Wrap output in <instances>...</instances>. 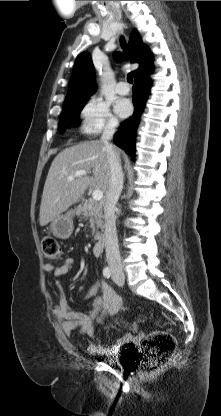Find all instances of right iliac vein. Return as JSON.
<instances>
[{"label":"right iliac vein","mask_w":221,"mask_h":416,"mask_svg":"<svg viewBox=\"0 0 221 416\" xmlns=\"http://www.w3.org/2000/svg\"><path fill=\"white\" fill-rule=\"evenodd\" d=\"M116 276H117L118 278H122V275H121V274H119V273H117V274H116Z\"/></svg>","instance_id":"1"}]
</instances>
